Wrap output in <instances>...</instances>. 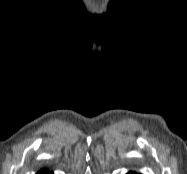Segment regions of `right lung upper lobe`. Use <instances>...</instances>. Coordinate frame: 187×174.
Here are the masks:
<instances>
[{
    "mask_svg": "<svg viewBox=\"0 0 187 174\" xmlns=\"http://www.w3.org/2000/svg\"><path fill=\"white\" fill-rule=\"evenodd\" d=\"M43 172H46V170H42V171L38 172V174H42Z\"/></svg>",
    "mask_w": 187,
    "mask_h": 174,
    "instance_id": "1",
    "label": "right lung upper lobe"
}]
</instances>
